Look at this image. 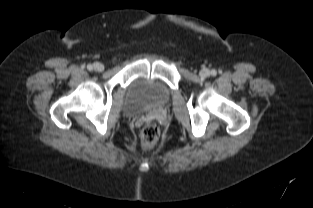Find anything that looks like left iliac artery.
Here are the masks:
<instances>
[{
  "label": "left iliac artery",
  "instance_id": "44dca946",
  "mask_svg": "<svg viewBox=\"0 0 313 208\" xmlns=\"http://www.w3.org/2000/svg\"><path fill=\"white\" fill-rule=\"evenodd\" d=\"M211 74H212L213 76H215V75H216V71H215V70H212V71H211Z\"/></svg>",
  "mask_w": 313,
  "mask_h": 208
}]
</instances>
